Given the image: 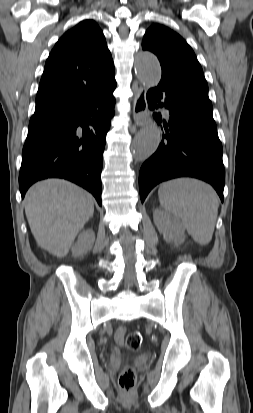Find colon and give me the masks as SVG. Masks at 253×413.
<instances>
[{
  "label": "colon",
  "instance_id": "obj_1",
  "mask_svg": "<svg viewBox=\"0 0 253 413\" xmlns=\"http://www.w3.org/2000/svg\"><path fill=\"white\" fill-rule=\"evenodd\" d=\"M142 343V336L137 331H132L127 334L125 345L131 350H137ZM136 383L135 370L126 364L119 375V387L125 395L132 394Z\"/></svg>",
  "mask_w": 253,
  "mask_h": 413
}]
</instances>
